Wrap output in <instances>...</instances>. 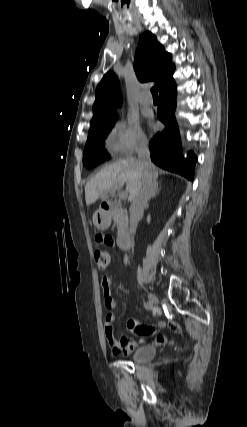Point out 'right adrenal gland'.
<instances>
[{
  "label": "right adrenal gland",
  "instance_id": "right-adrenal-gland-1",
  "mask_svg": "<svg viewBox=\"0 0 247 427\" xmlns=\"http://www.w3.org/2000/svg\"><path fill=\"white\" fill-rule=\"evenodd\" d=\"M158 192H159V188H158V184H157L156 189H155V192H154V194H153V197H155V196L158 194Z\"/></svg>",
  "mask_w": 247,
  "mask_h": 427
}]
</instances>
